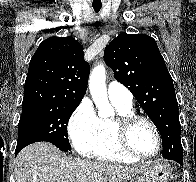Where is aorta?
Returning a JSON list of instances; mask_svg holds the SVG:
<instances>
[{
  "label": "aorta",
  "instance_id": "aorta-1",
  "mask_svg": "<svg viewBox=\"0 0 196 182\" xmlns=\"http://www.w3.org/2000/svg\"><path fill=\"white\" fill-rule=\"evenodd\" d=\"M106 72L103 65L96 66L89 77V89L92 99L98 108V116L108 118L114 115V109L110 105L106 90Z\"/></svg>",
  "mask_w": 196,
  "mask_h": 182
}]
</instances>
